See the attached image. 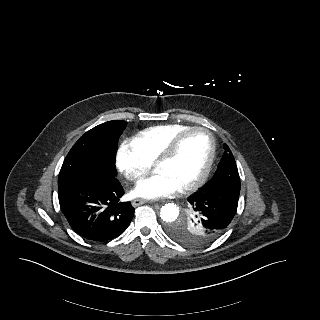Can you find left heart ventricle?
I'll use <instances>...</instances> for the list:
<instances>
[{
  "label": "left heart ventricle",
  "mask_w": 320,
  "mask_h": 320,
  "mask_svg": "<svg viewBox=\"0 0 320 320\" xmlns=\"http://www.w3.org/2000/svg\"><path fill=\"white\" fill-rule=\"evenodd\" d=\"M210 152L208 136L195 132L183 139L175 155L159 164L157 171L166 174L179 188L194 181L203 171Z\"/></svg>",
  "instance_id": "b2bd125f"
}]
</instances>
